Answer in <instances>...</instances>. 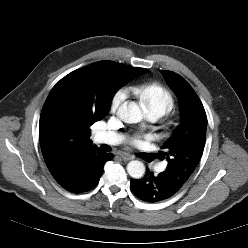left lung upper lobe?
I'll use <instances>...</instances> for the list:
<instances>
[{
    "label": "left lung upper lobe",
    "instance_id": "1",
    "mask_svg": "<svg viewBox=\"0 0 248 248\" xmlns=\"http://www.w3.org/2000/svg\"><path fill=\"white\" fill-rule=\"evenodd\" d=\"M166 82L176 93L181 107V121L165 142L162 157L168 161L164 171L181 188L197 167L202 156L207 128L204 107L192 87L178 74L161 70Z\"/></svg>",
    "mask_w": 248,
    "mask_h": 248
}]
</instances>
